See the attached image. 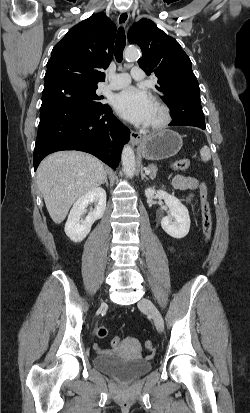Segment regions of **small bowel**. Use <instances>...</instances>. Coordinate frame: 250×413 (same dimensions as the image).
Segmentation results:
<instances>
[{"instance_id":"1","label":"small bowel","mask_w":250,"mask_h":413,"mask_svg":"<svg viewBox=\"0 0 250 413\" xmlns=\"http://www.w3.org/2000/svg\"><path fill=\"white\" fill-rule=\"evenodd\" d=\"M171 186L175 190L190 191V193L186 197V201L189 202L194 196V191L197 189L198 181L195 178L189 177L187 175L179 174L173 178ZM99 350L101 352H107V350Z\"/></svg>"}]
</instances>
